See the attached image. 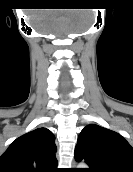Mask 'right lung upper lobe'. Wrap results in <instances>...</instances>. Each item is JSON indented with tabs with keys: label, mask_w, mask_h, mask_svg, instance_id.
<instances>
[{
	"label": "right lung upper lobe",
	"mask_w": 133,
	"mask_h": 172,
	"mask_svg": "<svg viewBox=\"0 0 133 172\" xmlns=\"http://www.w3.org/2000/svg\"><path fill=\"white\" fill-rule=\"evenodd\" d=\"M55 137L38 128L17 138L0 157V172H56Z\"/></svg>",
	"instance_id": "right-lung-upper-lobe-1"
}]
</instances>
